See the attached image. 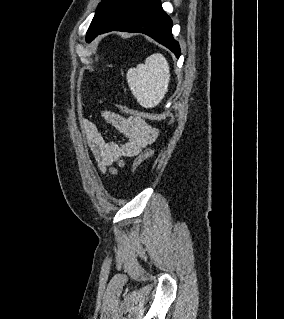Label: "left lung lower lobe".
<instances>
[{"label": "left lung lower lobe", "instance_id": "obj_1", "mask_svg": "<svg viewBox=\"0 0 284 319\" xmlns=\"http://www.w3.org/2000/svg\"><path fill=\"white\" fill-rule=\"evenodd\" d=\"M144 33L170 49L177 58L180 47L172 36V20L160 0H124L114 16L97 34L110 31Z\"/></svg>", "mask_w": 284, "mask_h": 319}]
</instances>
